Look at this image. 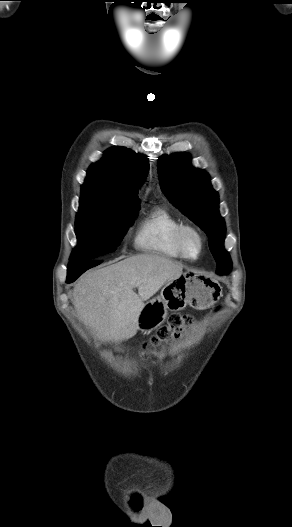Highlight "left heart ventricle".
Listing matches in <instances>:
<instances>
[{"mask_svg":"<svg viewBox=\"0 0 292 527\" xmlns=\"http://www.w3.org/2000/svg\"><path fill=\"white\" fill-rule=\"evenodd\" d=\"M186 250L191 256H195L199 250V241L197 237L193 234H188L186 236Z\"/></svg>","mask_w":292,"mask_h":527,"instance_id":"b2bd125f","label":"left heart ventricle"}]
</instances>
